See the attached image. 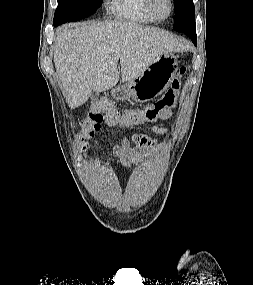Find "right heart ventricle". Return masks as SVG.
<instances>
[{
	"label": "right heart ventricle",
	"mask_w": 253,
	"mask_h": 285,
	"mask_svg": "<svg viewBox=\"0 0 253 285\" xmlns=\"http://www.w3.org/2000/svg\"><path fill=\"white\" fill-rule=\"evenodd\" d=\"M110 7L114 15L127 21L142 24L154 21L145 10L144 0H111Z\"/></svg>",
	"instance_id": "e07e8e85"
}]
</instances>
